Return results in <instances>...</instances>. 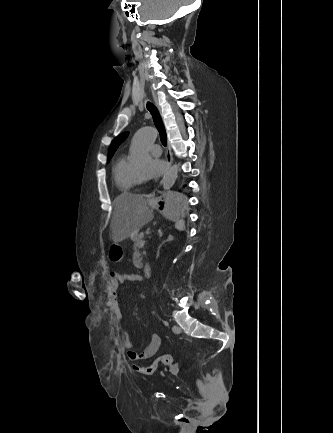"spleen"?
<instances>
[{"instance_id":"3e777b00","label":"spleen","mask_w":333,"mask_h":433,"mask_svg":"<svg viewBox=\"0 0 333 433\" xmlns=\"http://www.w3.org/2000/svg\"><path fill=\"white\" fill-rule=\"evenodd\" d=\"M175 222V228L178 230H184L185 229V221L182 220H172Z\"/></svg>"}]
</instances>
